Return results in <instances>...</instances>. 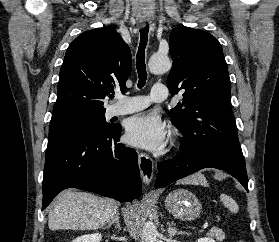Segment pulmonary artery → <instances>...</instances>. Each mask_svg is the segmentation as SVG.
I'll use <instances>...</instances> for the list:
<instances>
[{
  "label": "pulmonary artery",
  "mask_w": 279,
  "mask_h": 242,
  "mask_svg": "<svg viewBox=\"0 0 279 242\" xmlns=\"http://www.w3.org/2000/svg\"><path fill=\"white\" fill-rule=\"evenodd\" d=\"M167 97V88L162 84L152 86L150 96H131L119 98L121 104L113 105L109 113L111 116L131 114L146 108L151 102H162Z\"/></svg>",
  "instance_id": "pulmonary-artery-1"
}]
</instances>
